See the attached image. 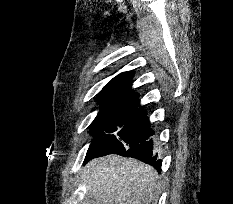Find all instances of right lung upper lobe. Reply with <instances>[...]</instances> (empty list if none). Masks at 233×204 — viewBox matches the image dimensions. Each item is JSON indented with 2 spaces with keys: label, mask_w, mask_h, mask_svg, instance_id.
I'll list each match as a JSON object with an SVG mask.
<instances>
[{
  "label": "right lung upper lobe",
  "mask_w": 233,
  "mask_h": 204,
  "mask_svg": "<svg viewBox=\"0 0 233 204\" xmlns=\"http://www.w3.org/2000/svg\"><path fill=\"white\" fill-rule=\"evenodd\" d=\"M132 76L123 72L102 89L98 97V103L102 104L100 112L116 105L138 103V94L131 88Z\"/></svg>",
  "instance_id": "right-lung-upper-lobe-1"
}]
</instances>
